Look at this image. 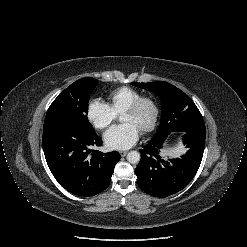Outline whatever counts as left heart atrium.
<instances>
[{
	"mask_svg": "<svg viewBox=\"0 0 247 247\" xmlns=\"http://www.w3.org/2000/svg\"><path fill=\"white\" fill-rule=\"evenodd\" d=\"M140 130L133 123H124L110 128L104 134V141L108 148L125 150L133 146L139 139Z\"/></svg>",
	"mask_w": 247,
	"mask_h": 247,
	"instance_id": "39dd6f15",
	"label": "left heart atrium"
}]
</instances>
